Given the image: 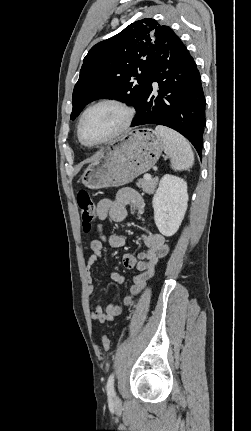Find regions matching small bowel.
Instances as JSON below:
<instances>
[{
    "instance_id": "c3829d8e",
    "label": "small bowel",
    "mask_w": 251,
    "mask_h": 431,
    "mask_svg": "<svg viewBox=\"0 0 251 431\" xmlns=\"http://www.w3.org/2000/svg\"><path fill=\"white\" fill-rule=\"evenodd\" d=\"M127 207H130L138 216H145L148 212L143 198L135 190L124 188L117 193L115 199H102L99 201L96 210L97 217L101 221L108 218L114 222H121L127 216ZM98 232L99 237L90 243L92 254L86 265L88 271V294L90 296L94 291L90 271L99 259H101L104 249L107 247L122 248L126 244V240L122 235H105L102 232V225L100 224L98 225ZM142 241L145 245L144 251L140 252L137 256L130 253L123 256L125 267L130 269L136 268L140 271L134 277L133 284L130 287L131 295H127L123 299L124 306L133 304V295L139 294L145 288L148 280L154 275L160 260L165 258L169 252V245L166 242L165 236L161 233L143 234ZM109 276L117 284L124 283V276L116 271L110 272ZM123 311L124 307L122 305L110 304L105 310L97 305L91 312V318L100 323H105L121 315Z\"/></svg>"
}]
</instances>
